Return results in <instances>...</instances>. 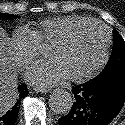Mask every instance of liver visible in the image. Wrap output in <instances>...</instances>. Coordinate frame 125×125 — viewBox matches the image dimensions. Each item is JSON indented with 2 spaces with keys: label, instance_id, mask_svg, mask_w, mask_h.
I'll return each instance as SVG.
<instances>
[{
  "label": "liver",
  "instance_id": "6515ba94",
  "mask_svg": "<svg viewBox=\"0 0 125 125\" xmlns=\"http://www.w3.org/2000/svg\"><path fill=\"white\" fill-rule=\"evenodd\" d=\"M9 46V38L0 28V115L11 107L17 95V73Z\"/></svg>",
  "mask_w": 125,
  "mask_h": 125
}]
</instances>
